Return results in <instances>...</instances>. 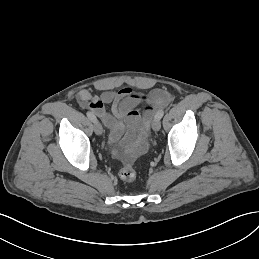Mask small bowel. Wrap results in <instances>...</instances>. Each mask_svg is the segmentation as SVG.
<instances>
[{"instance_id":"small-bowel-1","label":"small bowel","mask_w":259,"mask_h":259,"mask_svg":"<svg viewBox=\"0 0 259 259\" xmlns=\"http://www.w3.org/2000/svg\"><path fill=\"white\" fill-rule=\"evenodd\" d=\"M101 94L92 95L88 90H80L76 97L81 107L89 109L110 130L108 146L118 157H134L147 148L148 131L154 111L164 107L171 101V95L162 89H156L149 94L135 93L130 87L118 91L98 86ZM145 104L142 113L138 105ZM111 105V112L106 105ZM121 149L115 148L120 140Z\"/></svg>"}]
</instances>
